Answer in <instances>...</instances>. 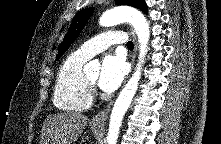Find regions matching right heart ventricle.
Instances as JSON below:
<instances>
[{
  "instance_id": "right-heart-ventricle-1",
  "label": "right heart ventricle",
  "mask_w": 221,
  "mask_h": 144,
  "mask_svg": "<svg viewBox=\"0 0 221 144\" xmlns=\"http://www.w3.org/2000/svg\"><path fill=\"white\" fill-rule=\"evenodd\" d=\"M87 59L76 52L69 55L57 73L54 92V105L66 112H82L92 103L90 89L83 72Z\"/></svg>"
}]
</instances>
